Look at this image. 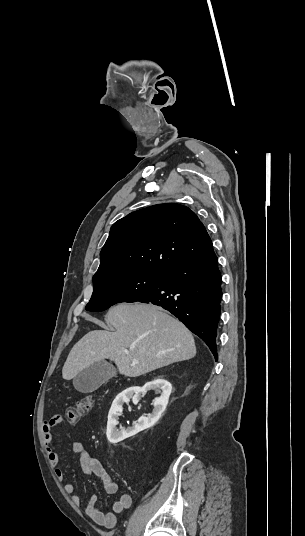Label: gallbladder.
<instances>
[{"label":"gallbladder","mask_w":305,"mask_h":536,"mask_svg":"<svg viewBox=\"0 0 305 536\" xmlns=\"http://www.w3.org/2000/svg\"><path fill=\"white\" fill-rule=\"evenodd\" d=\"M116 368L108 362H94L92 366H88L77 374L73 380V386L82 394H90L94 390H98L102 384L108 382L110 378L116 376Z\"/></svg>","instance_id":"gallbladder-1"}]
</instances>
